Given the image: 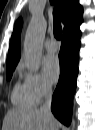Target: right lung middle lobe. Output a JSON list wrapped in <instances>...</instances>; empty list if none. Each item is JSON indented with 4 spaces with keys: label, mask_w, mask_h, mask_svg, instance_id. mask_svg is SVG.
I'll list each match as a JSON object with an SVG mask.
<instances>
[{
    "label": "right lung middle lobe",
    "mask_w": 95,
    "mask_h": 130,
    "mask_svg": "<svg viewBox=\"0 0 95 130\" xmlns=\"http://www.w3.org/2000/svg\"><path fill=\"white\" fill-rule=\"evenodd\" d=\"M13 70H14V69L6 70V71H7V79H8V80L11 79L12 74H13Z\"/></svg>",
    "instance_id": "1"
}]
</instances>
